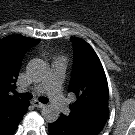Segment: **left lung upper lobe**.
<instances>
[{
  "label": "left lung upper lobe",
  "instance_id": "1",
  "mask_svg": "<svg viewBox=\"0 0 135 135\" xmlns=\"http://www.w3.org/2000/svg\"><path fill=\"white\" fill-rule=\"evenodd\" d=\"M74 65L69 92L77 100L68 116L58 120L85 135H98L108 118V84L102 64L93 48L84 40L71 38Z\"/></svg>",
  "mask_w": 135,
  "mask_h": 135
}]
</instances>
